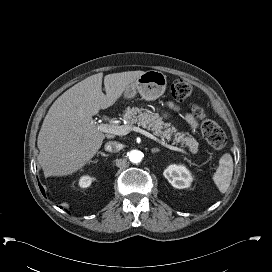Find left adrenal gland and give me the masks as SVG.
I'll return each instance as SVG.
<instances>
[{
    "label": "left adrenal gland",
    "instance_id": "a2214340",
    "mask_svg": "<svg viewBox=\"0 0 272 272\" xmlns=\"http://www.w3.org/2000/svg\"><path fill=\"white\" fill-rule=\"evenodd\" d=\"M160 150L158 148H153L152 153L159 152Z\"/></svg>",
    "mask_w": 272,
    "mask_h": 272
}]
</instances>
